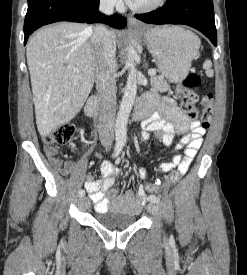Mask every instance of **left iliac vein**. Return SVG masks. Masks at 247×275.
<instances>
[{"mask_svg": "<svg viewBox=\"0 0 247 275\" xmlns=\"http://www.w3.org/2000/svg\"><path fill=\"white\" fill-rule=\"evenodd\" d=\"M147 209L152 215L156 216L157 218H161L162 211L157 202H150L147 206Z\"/></svg>", "mask_w": 247, "mask_h": 275, "instance_id": "1", "label": "left iliac vein"}]
</instances>
